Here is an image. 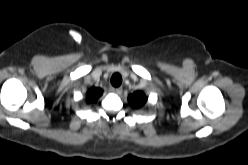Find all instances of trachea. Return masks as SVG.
Listing matches in <instances>:
<instances>
[{
    "instance_id": "obj_1",
    "label": "trachea",
    "mask_w": 248,
    "mask_h": 165,
    "mask_svg": "<svg viewBox=\"0 0 248 165\" xmlns=\"http://www.w3.org/2000/svg\"><path fill=\"white\" fill-rule=\"evenodd\" d=\"M121 83H122V76L119 73L113 74V76L111 77V84L114 87H119Z\"/></svg>"
}]
</instances>
